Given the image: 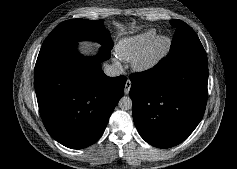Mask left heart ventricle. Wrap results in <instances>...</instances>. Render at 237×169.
Returning a JSON list of instances; mask_svg holds the SVG:
<instances>
[{
	"label": "left heart ventricle",
	"mask_w": 237,
	"mask_h": 169,
	"mask_svg": "<svg viewBox=\"0 0 237 169\" xmlns=\"http://www.w3.org/2000/svg\"><path fill=\"white\" fill-rule=\"evenodd\" d=\"M165 46V41L164 40H161L158 42V44L156 45L155 47V52H158L160 51L163 47Z\"/></svg>",
	"instance_id": "left-heart-ventricle-1"
}]
</instances>
